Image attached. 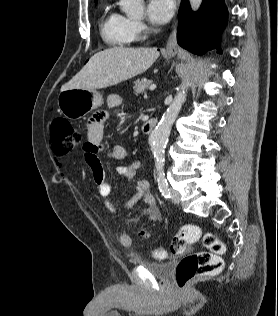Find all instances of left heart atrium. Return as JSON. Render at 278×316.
Segmentation results:
<instances>
[{"label": "left heart atrium", "instance_id": "1", "mask_svg": "<svg viewBox=\"0 0 278 316\" xmlns=\"http://www.w3.org/2000/svg\"><path fill=\"white\" fill-rule=\"evenodd\" d=\"M174 11L173 0H149L146 14L152 24L160 25L168 22Z\"/></svg>", "mask_w": 278, "mask_h": 316}]
</instances>
